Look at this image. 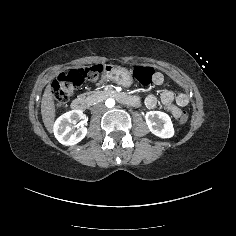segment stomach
<instances>
[{
  "mask_svg": "<svg viewBox=\"0 0 236 236\" xmlns=\"http://www.w3.org/2000/svg\"><path fill=\"white\" fill-rule=\"evenodd\" d=\"M104 73L107 79L124 88H129L133 84L132 71L125 67L105 65Z\"/></svg>",
  "mask_w": 236,
  "mask_h": 236,
  "instance_id": "1",
  "label": "stomach"
}]
</instances>
